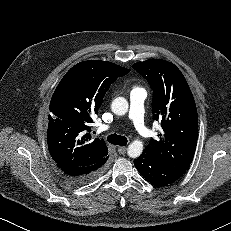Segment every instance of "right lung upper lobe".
Returning a JSON list of instances; mask_svg holds the SVG:
<instances>
[{
  "label": "right lung upper lobe",
  "mask_w": 231,
  "mask_h": 231,
  "mask_svg": "<svg viewBox=\"0 0 231 231\" xmlns=\"http://www.w3.org/2000/svg\"><path fill=\"white\" fill-rule=\"evenodd\" d=\"M128 72L111 62L91 60L76 64L64 75L48 115V149L57 164L91 166L108 157L105 141L92 139L89 125L110 84Z\"/></svg>",
  "instance_id": "cb5924a9"
}]
</instances>
